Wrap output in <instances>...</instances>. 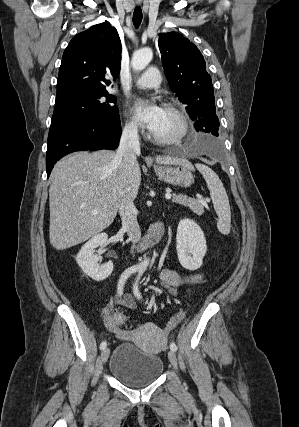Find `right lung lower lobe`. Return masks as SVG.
<instances>
[{
  "label": "right lung lower lobe",
  "instance_id": "1",
  "mask_svg": "<svg viewBox=\"0 0 299 427\" xmlns=\"http://www.w3.org/2000/svg\"><path fill=\"white\" fill-rule=\"evenodd\" d=\"M120 136V123L95 118L75 117L51 124L46 153L47 176L66 154L79 150L115 149Z\"/></svg>",
  "mask_w": 299,
  "mask_h": 427
}]
</instances>
